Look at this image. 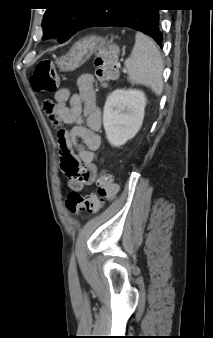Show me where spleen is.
<instances>
[{"label":"spleen","mask_w":213,"mask_h":338,"mask_svg":"<svg viewBox=\"0 0 213 338\" xmlns=\"http://www.w3.org/2000/svg\"><path fill=\"white\" fill-rule=\"evenodd\" d=\"M128 80L148 86L156 95L163 91V61L155 42L141 32L135 35V45L125 62Z\"/></svg>","instance_id":"3e777b00"}]
</instances>
